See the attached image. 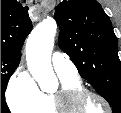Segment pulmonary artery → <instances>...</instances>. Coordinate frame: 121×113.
<instances>
[{
  "label": "pulmonary artery",
  "instance_id": "pulmonary-artery-1",
  "mask_svg": "<svg viewBox=\"0 0 121 113\" xmlns=\"http://www.w3.org/2000/svg\"><path fill=\"white\" fill-rule=\"evenodd\" d=\"M52 65L55 72L59 76L77 77L78 70L76 66L60 51H56L53 53Z\"/></svg>",
  "mask_w": 121,
  "mask_h": 113
}]
</instances>
